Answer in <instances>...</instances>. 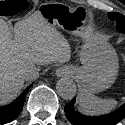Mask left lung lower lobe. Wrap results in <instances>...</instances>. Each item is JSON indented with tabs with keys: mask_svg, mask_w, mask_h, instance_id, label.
I'll return each mask as SVG.
<instances>
[{
	"mask_svg": "<svg viewBox=\"0 0 125 125\" xmlns=\"http://www.w3.org/2000/svg\"><path fill=\"white\" fill-rule=\"evenodd\" d=\"M74 105L75 98L64 107L66 116L73 125H115L125 118V104L110 114L93 117L82 115Z\"/></svg>",
	"mask_w": 125,
	"mask_h": 125,
	"instance_id": "left-lung-lower-lobe-1",
	"label": "left lung lower lobe"
}]
</instances>
